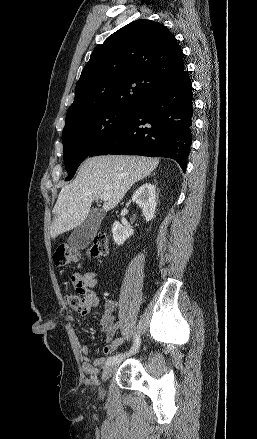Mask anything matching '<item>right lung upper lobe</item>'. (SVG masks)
I'll list each match as a JSON object with an SVG mask.
<instances>
[{"mask_svg":"<svg viewBox=\"0 0 257 439\" xmlns=\"http://www.w3.org/2000/svg\"><path fill=\"white\" fill-rule=\"evenodd\" d=\"M183 71L182 50L169 30L158 22L133 21L94 49L66 120L101 108L136 109Z\"/></svg>","mask_w":257,"mask_h":439,"instance_id":"right-lung-upper-lobe-1","label":"right lung upper lobe"}]
</instances>
